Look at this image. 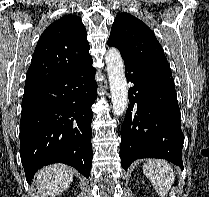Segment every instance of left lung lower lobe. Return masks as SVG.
<instances>
[{"label":"left lung lower lobe","mask_w":209,"mask_h":197,"mask_svg":"<svg viewBox=\"0 0 209 197\" xmlns=\"http://www.w3.org/2000/svg\"><path fill=\"white\" fill-rule=\"evenodd\" d=\"M129 108L121 126V163L140 158L166 159L183 169L180 109L172 75L124 62Z\"/></svg>","instance_id":"obj_1"}]
</instances>
